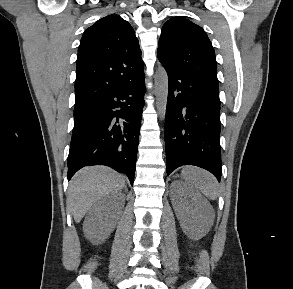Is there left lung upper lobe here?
<instances>
[{"mask_svg": "<svg viewBox=\"0 0 293 289\" xmlns=\"http://www.w3.org/2000/svg\"><path fill=\"white\" fill-rule=\"evenodd\" d=\"M157 53L167 70L218 82L212 44L206 32L186 18L174 17L164 24Z\"/></svg>", "mask_w": 293, "mask_h": 289, "instance_id": "5c2ea615", "label": "left lung upper lobe"}]
</instances>
